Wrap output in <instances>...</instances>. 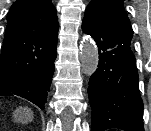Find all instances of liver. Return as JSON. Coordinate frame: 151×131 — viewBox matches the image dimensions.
Masks as SVG:
<instances>
[{"instance_id": "obj_1", "label": "liver", "mask_w": 151, "mask_h": 131, "mask_svg": "<svg viewBox=\"0 0 151 131\" xmlns=\"http://www.w3.org/2000/svg\"><path fill=\"white\" fill-rule=\"evenodd\" d=\"M32 117H33V112H32L31 110H27V111H26L27 121L32 120Z\"/></svg>"}]
</instances>
